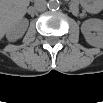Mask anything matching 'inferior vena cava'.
Instances as JSON below:
<instances>
[{"label":"inferior vena cava","mask_w":103,"mask_h":103,"mask_svg":"<svg viewBox=\"0 0 103 103\" xmlns=\"http://www.w3.org/2000/svg\"><path fill=\"white\" fill-rule=\"evenodd\" d=\"M47 2L45 0H36L34 3V8L37 11H44L46 10Z\"/></svg>","instance_id":"602c4592"}]
</instances>
